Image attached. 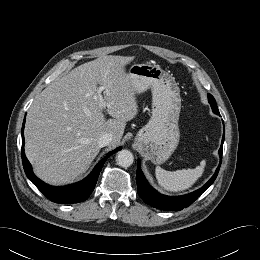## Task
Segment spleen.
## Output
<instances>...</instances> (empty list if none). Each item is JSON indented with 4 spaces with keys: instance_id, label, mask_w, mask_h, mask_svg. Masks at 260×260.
Wrapping results in <instances>:
<instances>
[{
    "instance_id": "3e777b00",
    "label": "spleen",
    "mask_w": 260,
    "mask_h": 260,
    "mask_svg": "<svg viewBox=\"0 0 260 260\" xmlns=\"http://www.w3.org/2000/svg\"><path fill=\"white\" fill-rule=\"evenodd\" d=\"M205 165L206 162L203 160L200 166L194 169L176 171H166L160 166H157L155 174L159 185L165 190L178 192L190 188L202 176Z\"/></svg>"
}]
</instances>
